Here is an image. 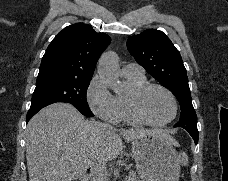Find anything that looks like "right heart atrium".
<instances>
[{
  "instance_id": "obj_1",
  "label": "right heart atrium",
  "mask_w": 228,
  "mask_h": 181,
  "mask_svg": "<svg viewBox=\"0 0 228 181\" xmlns=\"http://www.w3.org/2000/svg\"><path fill=\"white\" fill-rule=\"evenodd\" d=\"M107 78L100 74L93 78L87 93L92 111L101 119L116 124L120 120L116 98L107 89Z\"/></svg>"
}]
</instances>
